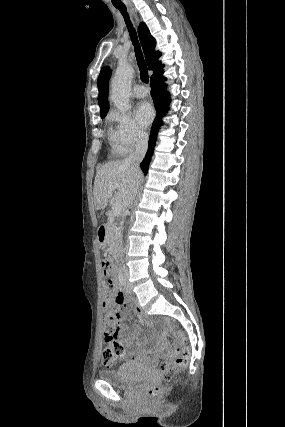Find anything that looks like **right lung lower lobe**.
<instances>
[{
	"label": "right lung lower lobe",
	"mask_w": 285,
	"mask_h": 427,
	"mask_svg": "<svg viewBox=\"0 0 285 427\" xmlns=\"http://www.w3.org/2000/svg\"><path fill=\"white\" fill-rule=\"evenodd\" d=\"M165 80L166 78L161 76V77L151 79V83H150L151 96L153 98V102L156 110V118L152 124L147 153L143 161L140 163L141 169L145 175L147 174L149 162L151 160V156L154 151V146L157 139L156 137H157L159 127L162 125L161 117L169 109L170 98H169V93L164 90L166 88V85L164 84Z\"/></svg>",
	"instance_id": "1"
}]
</instances>
